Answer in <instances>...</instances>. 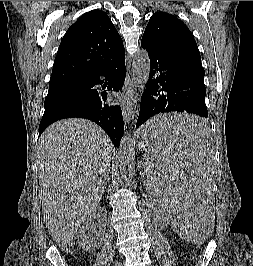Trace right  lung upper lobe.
Returning a JSON list of instances; mask_svg holds the SVG:
<instances>
[{
	"mask_svg": "<svg viewBox=\"0 0 253 266\" xmlns=\"http://www.w3.org/2000/svg\"><path fill=\"white\" fill-rule=\"evenodd\" d=\"M125 57L123 41L108 15L92 10L65 33L54 60L49 86L82 82Z\"/></svg>",
	"mask_w": 253,
	"mask_h": 266,
	"instance_id": "1",
	"label": "right lung upper lobe"
}]
</instances>
